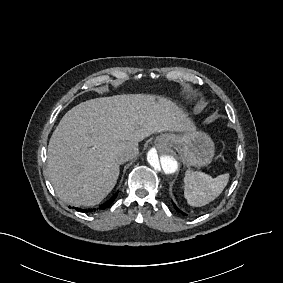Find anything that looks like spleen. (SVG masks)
I'll list each match as a JSON object with an SVG mask.
<instances>
[{"mask_svg":"<svg viewBox=\"0 0 283 283\" xmlns=\"http://www.w3.org/2000/svg\"><path fill=\"white\" fill-rule=\"evenodd\" d=\"M228 181V173L212 178L203 172L188 169L184 177V197L190 206H204L222 193Z\"/></svg>","mask_w":283,"mask_h":283,"instance_id":"spleen-1","label":"spleen"}]
</instances>
